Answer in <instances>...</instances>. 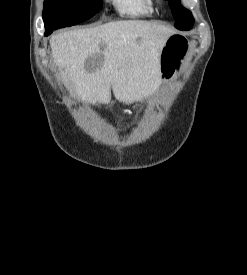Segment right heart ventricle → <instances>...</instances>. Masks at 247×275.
<instances>
[{"instance_id": "e07e8e85", "label": "right heart ventricle", "mask_w": 247, "mask_h": 275, "mask_svg": "<svg viewBox=\"0 0 247 275\" xmlns=\"http://www.w3.org/2000/svg\"><path fill=\"white\" fill-rule=\"evenodd\" d=\"M115 9L128 17L148 16L153 12V0H110Z\"/></svg>"}]
</instances>
